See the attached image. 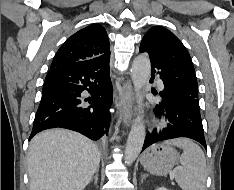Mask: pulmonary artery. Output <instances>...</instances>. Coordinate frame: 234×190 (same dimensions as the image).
I'll return each mask as SVG.
<instances>
[{
    "mask_svg": "<svg viewBox=\"0 0 234 190\" xmlns=\"http://www.w3.org/2000/svg\"><path fill=\"white\" fill-rule=\"evenodd\" d=\"M158 87H159L160 89L163 88V83H162L161 81L158 82Z\"/></svg>",
    "mask_w": 234,
    "mask_h": 190,
    "instance_id": "obj_1",
    "label": "pulmonary artery"
}]
</instances>
